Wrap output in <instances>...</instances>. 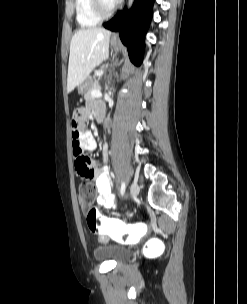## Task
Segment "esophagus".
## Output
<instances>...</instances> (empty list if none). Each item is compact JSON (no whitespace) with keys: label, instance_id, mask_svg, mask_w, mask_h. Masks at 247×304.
Returning <instances> with one entry per match:
<instances>
[{"label":"esophagus","instance_id":"obj_1","mask_svg":"<svg viewBox=\"0 0 247 304\" xmlns=\"http://www.w3.org/2000/svg\"><path fill=\"white\" fill-rule=\"evenodd\" d=\"M114 36L116 37V36H117V33H115Z\"/></svg>","mask_w":247,"mask_h":304}]
</instances>
